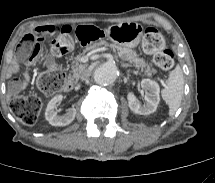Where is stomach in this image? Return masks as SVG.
<instances>
[{
  "label": "stomach",
  "instance_id": "0dacf381",
  "mask_svg": "<svg viewBox=\"0 0 215 183\" xmlns=\"http://www.w3.org/2000/svg\"><path fill=\"white\" fill-rule=\"evenodd\" d=\"M102 32L110 41L126 48H135L143 36L142 26L131 22L112 25Z\"/></svg>",
  "mask_w": 215,
  "mask_h": 183
}]
</instances>
